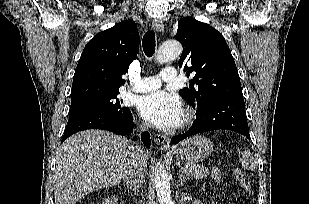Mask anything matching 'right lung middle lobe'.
Wrapping results in <instances>:
<instances>
[{
    "mask_svg": "<svg viewBox=\"0 0 309 204\" xmlns=\"http://www.w3.org/2000/svg\"><path fill=\"white\" fill-rule=\"evenodd\" d=\"M118 94L119 91L71 104L69 118L83 114H106L124 119L129 116L130 110L121 105L123 100L117 98Z\"/></svg>",
    "mask_w": 309,
    "mask_h": 204,
    "instance_id": "obj_1",
    "label": "right lung middle lobe"
}]
</instances>
